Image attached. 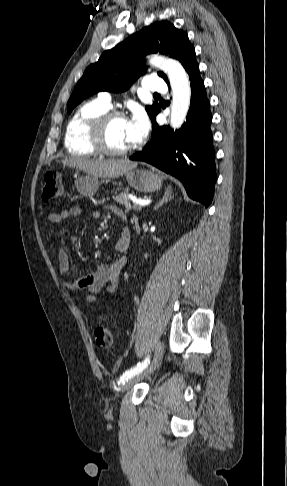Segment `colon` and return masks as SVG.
I'll use <instances>...</instances> for the list:
<instances>
[{
  "instance_id": "colon-1",
  "label": "colon",
  "mask_w": 287,
  "mask_h": 486,
  "mask_svg": "<svg viewBox=\"0 0 287 486\" xmlns=\"http://www.w3.org/2000/svg\"><path fill=\"white\" fill-rule=\"evenodd\" d=\"M63 187L60 174L56 171H48L44 175V182L41 196L43 201H49L59 197L62 193ZM95 343L100 348H107L112 343V333L109 325L103 318L94 330Z\"/></svg>"
}]
</instances>
